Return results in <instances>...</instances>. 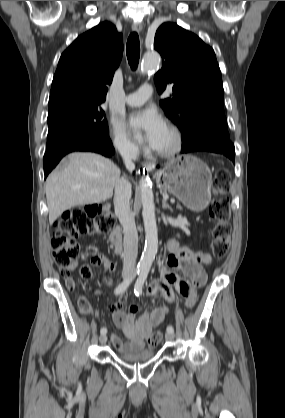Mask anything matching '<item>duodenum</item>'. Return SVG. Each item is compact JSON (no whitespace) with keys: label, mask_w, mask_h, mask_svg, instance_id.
<instances>
[{"label":"duodenum","mask_w":285,"mask_h":418,"mask_svg":"<svg viewBox=\"0 0 285 418\" xmlns=\"http://www.w3.org/2000/svg\"><path fill=\"white\" fill-rule=\"evenodd\" d=\"M111 243L115 248V252L119 254L122 249V232L119 227L115 228L110 235Z\"/></svg>","instance_id":"410a0bca"}]
</instances>
